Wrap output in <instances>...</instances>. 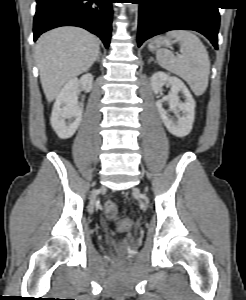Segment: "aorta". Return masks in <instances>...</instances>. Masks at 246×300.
Here are the masks:
<instances>
[{
    "instance_id": "obj_1",
    "label": "aorta",
    "mask_w": 246,
    "mask_h": 300,
    "mask_svg": "<svg viewBox=\"0 0 246 300\" xmlns=\"http://www.w3.org/2000/svg\"><path fill=\"white\" fill-rule=\"evenodd\" d=\"M133 11H134V5L131 4V6H130V12H133Z\"/></svg>"
}]
</instances>
